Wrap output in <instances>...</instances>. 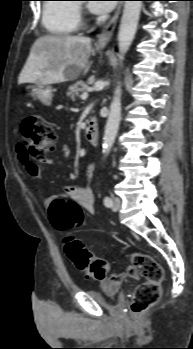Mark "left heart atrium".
Here are the masks:
<instances>
[{
  "mask_svg": "<svg viewBox=\"0 0 193 349\" xmlns=\"http://www.w3.org/2000/svg\"><path fill=\"white\" fill-rule=\"evenodd\" d=\"M90 9L98 14L110 12L114 7V2L93 1L89 5Z\"/></svg>",
  "mask_w": 193,
  "mask_h": 349,
  "instance_id": "left-heart-atrium-1",
  "label": "left heart atrium"
}]
</instances>
